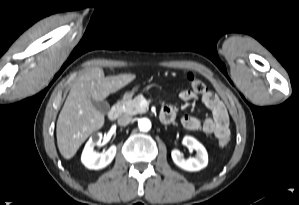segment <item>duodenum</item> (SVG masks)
Wrapping results in <instances>:
<instances>
[{
  "instance_id": "410a0bca",
  "label": "duodenum",
  "mask_w": 299,
  "mask_h": 205,
  "mask_svg": "<svg viewBox=\"0 0 299 205\" xmlns=\"http://www.w3.org/2000/svg\"><path fill=\"white\" fill-rule=\"evenodd\" d=\"M120 113H121V103H117L109 111L108 117H109L110 120H115V119L118 118V116L120 115ZM160 119L164 123H169L172 120V116L170 114H168V113L161 112Z\"/></svg>"
}]
</instances>
